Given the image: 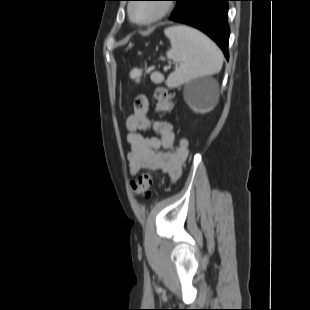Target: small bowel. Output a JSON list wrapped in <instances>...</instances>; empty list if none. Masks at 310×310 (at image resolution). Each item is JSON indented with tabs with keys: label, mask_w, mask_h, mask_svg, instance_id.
Here are the masks:
<instances>
[{
	"label": "small bowel",
	"mask_w": 310,
	"mask_h": 310,
	"mask_svg": "<svg viewBox=\"0 0 310 310\" xmlns=\"http://www.w3.org/2000/svg\"><path fill=\"white\" fill-rule=\"evenodd\" d=\"M149 98L137 95L133 112L126 126L130 151L127 155L129 173L136 176L142 169L161 171L172 180H177L188 156V140L176 137L173 126L166 121H155L148 116ZM154 130L158 137H147L143 133Z\"/></svg>",
	"instance_id": "1"
}]
</instances>
